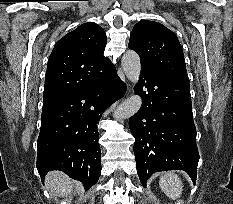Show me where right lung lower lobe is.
Masks as SVG:
<instances>
[{"mask_svg":"<svg viewBox=\"0 0 233 204\" xmlns=\"http://www.w3.org/2000/svg\"><path fill=\"white\" fill-rule=\"evenodd\" d=\"M126 92L110 66L92 85L43 105L37 142V169L42 182L61 170L90 189L101 174L99 122L103 112Z\"/></svg>","mask_w":233,"mask_h":204,"instance_id":"obj_1","label":"right lung lower lobe"}]
</instances>
